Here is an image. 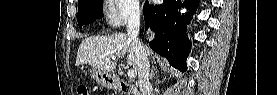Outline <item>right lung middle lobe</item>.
Masks as SVG:
<instances>
[{
    "label": "right lung middle lobe",
    "mask_w": 277,
    "mask_h": 95,
    "mask_svg": "<svg viewBox=\"0 0 277 95\" xmlns=\"http://www.w3.org/2000/svg\"><path fill=\"white\" fill-rule=\"evenodd\" d=\"M103 0H81L78 2V25L94 22L102 16Z\"/></svg>",
    "instance_id": "obj_1"
}]
</instances>
